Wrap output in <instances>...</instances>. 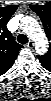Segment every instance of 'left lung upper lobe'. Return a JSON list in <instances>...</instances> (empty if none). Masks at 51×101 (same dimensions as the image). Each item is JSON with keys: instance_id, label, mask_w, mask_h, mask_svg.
Here are the masks:
<instances>
[{"instance_id": "obj_1", "label": "left lung upper lobe", "mask_w": 51, "mask_h": 101, "mask_svg": "<svg viewBox=\"0 0 51 101\" xmlns=\"http://www.w3.org/2000/svg\"><path fill=\"white\" fill-rule=\"evenodd\" d=\"M30 8L37 13L43 22V27L47 37L51 38V3L48 2L45 5H30ZM46 64L51 63V50L45 55L39 56Z\"/></svg>"}]
</instances>
